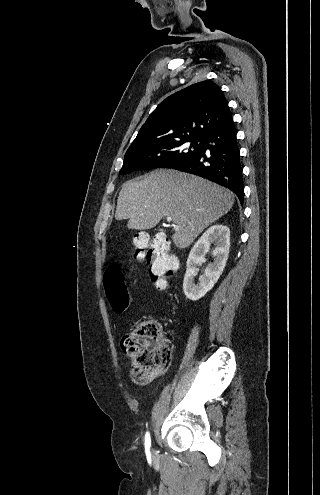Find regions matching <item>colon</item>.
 I'll use <instances>...</instances> for the list:
<instances>
[{"mask_svg":"<svg viewBox=\"0 0 320 495\" xmlns=\"http://www.w3.org/2000/svg\"><path fill=\"white\" fill-rule=\"evenodd\" d=\"M136 257L150 266L152 282L159 289L166 288L178 269L177 259L170 253L169 240L157 236L149 241L139 233L134 236ZM103 287L111 308L124 312L129 305V294L119 263H111L103 275ZM121 349L131 359V378L135 384L144 385L165 371L170 363V351L161 340L159 325L149 320L121 338Z\"/></svg>","mask_w":320,"mask_h":495,"instance_id":"obj_1","label":"colon"}]
</instances>
